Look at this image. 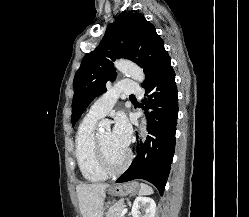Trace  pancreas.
<instances>
[{
  "label": "pancreas",
  "instance_id": "pancreas-1",
  "mask_svg": "<svg viewBox=\"0 0 249 217\" xmlns=\"http://www.w3.org/2000/svg\"><path fill=\"white\" fill-rule=\"evenodd\" d=\"M124 207L125 203L123 201L116 202L112 207H110V209L106 213V217H120Z\"/></svg>",
  "mask_w": 249,
  "mask_h": 217
}]
</instances>
